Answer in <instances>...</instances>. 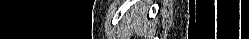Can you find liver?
Masks as SVG:
<instances>
[{
    "mask_svg": "<svg viewBox=\"0 0 249 39\" xmlns=\"http://www.w3.org/2000/svg\"><path fill=\"white\" fill-rule=\"evenodd\" d=\"M147 5L145 2L140 3L135 7L134 14L132 15V27L137 34H143L147 28L148 23L145 21V14Z\"/></svg>",
    "mask_w": 249,
    "mask_h": 39,
    "instance_id": "liver-1",
    "label": "liver"
}]
</instances>
